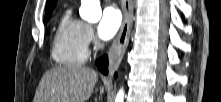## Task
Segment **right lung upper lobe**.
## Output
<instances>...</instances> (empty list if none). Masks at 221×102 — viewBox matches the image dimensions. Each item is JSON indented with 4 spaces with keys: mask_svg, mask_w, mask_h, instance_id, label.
I'll list each match as a JSON object with an SVG mask.
<instances>
[{
    "mask_svg": "<svg viewBox=\"0 0 221 102\" xmlns=\"http://www.w3.org/2000/svg\"><path fill=\"white\" fill-rule=\"evenodd\" d=\"M57 0H47V4H46V13H50L52 12L55 4H56Z\"/></svg>",
    "mask_w": 221,
    "mask_h": 102,
    "instance_id": "1",
    "label": "right lung upper lobe"
}]
</instances>
